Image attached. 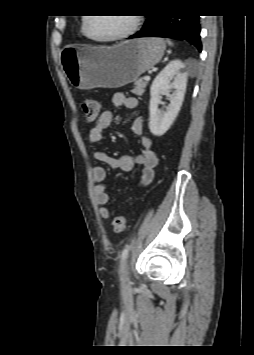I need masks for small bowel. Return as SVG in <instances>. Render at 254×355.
Masks as SVG:
<instances>
[{
	"label": "small bowel",
	"mask_w": 254,
	"mask_h": 355,
	"mask_svg": "<svg viewBox=\"0 0 254 355\" xmlns=\"http://www.w3.org/2000/svg\"><path fill=\"white\" fill-rule=\"evenodd\" d=\"M111 103L115 107H125L127 109H135L138 106V101L134 97H128L121 92L114 93L111 98ZM113 114L110 111H103L90 128L88 139L90 143L97 144L100 142L104 131L111 125ZM132 132L138 137L141 146V153L136 157L122 155L119 157L110 156L102 151H95L94 156L98 161L105 162L111 167L130 172L135 166L141 168L139 175V184L142 186L148 185L153 177L154 171L158 164V157L153 150L151 140L145 135L144 122L141 118L134 120L132 123ZM92 177L96 185L94 186V196L97 204L100 206L99 214L103 219L110 217V210L106 207L109 202V194L104 185L106 179V170L101 166L92 168Z\"/></svg>",
	"instance_id": "small-bowel-1"
}]
</instances>
